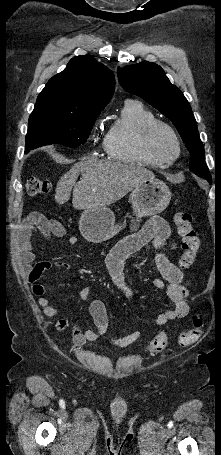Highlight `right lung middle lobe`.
<instances>
[{
	"instance_id": "obj_1",
	"label": "right lung middle lobe",
	"mask_w": 221,
	"mask_h": 455,
	"mask_svg": "<svg viewBox=\"0 0 221 455\" xmlns=\"http://www.w3.org/2000/svg\"><path fill=\"white\" fill-rule=\"evenodd\" d=\"M99 114L100 112L72 114L48 108H34L29 118L25 153L52 143L72 148L84 144Z\"/></svg>"
}]
</instances>
